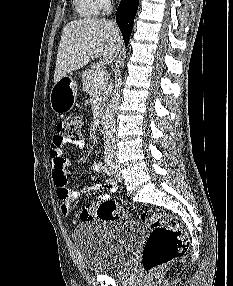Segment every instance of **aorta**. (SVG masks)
<instances>
[{
  "instance_id": "obj_1",
  "label": "aorta",
  "mask_w": 233,
  "mask_h": 286,
  "mask_svg": "<svg viewBox=\"0 0 233 286\" xmlns=\"http://www.w3.org/2000/svg\"><path fill=\"white\" fill-rule=\"evenodd\" d=\"M121 85L122 78L119 77L116 80L114 92L104 117L103 125L105 129L106 139L108 142H114L115 139L116 113L119 107Z\"/></svg>"
}]
</instances>
